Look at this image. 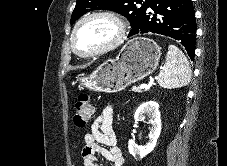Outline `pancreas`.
Here are the masks:
<instances>
[{"mask_svg": "<svg viewBox=\"0 0 227 166\" xmlns=\"http://www.w3.org/2000/svg\"><path fill=\"white\" fill-rule=\"evenodd\" d=\"M132 91H134V92H141V89H139V87H133L132 88Z\"/></svg>", "mask_w": 227, "mask_h": 166, "instance_id": "obj_1", "label": "pancreas"}]
</instances>
